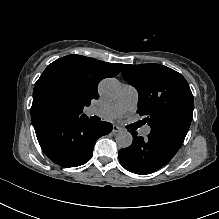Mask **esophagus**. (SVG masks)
I'll return each mask as SVG.
<instances>
[{"label":"esophagus","mask_w":219,"mask_h":219,"mask_svg":"<svg viewBox=\"0 0 219 219\" xmlns=\"http://www.w3.org/2000/svg\"><path fill=\"white\" fill-rule=\"evenodd\" d=\"M123 129L117 125H113V129H112V132L113 133H118V132H121Z\"/></svg>","instance_id":"obj_1"}]
</instances>
